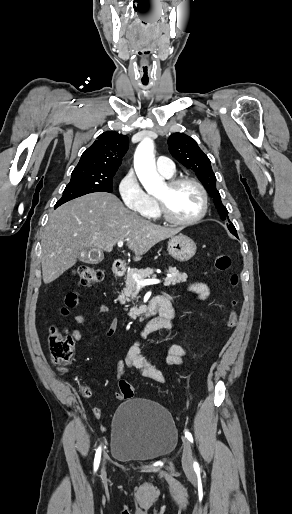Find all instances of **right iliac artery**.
<instances>
[{
	"mask_svg": "<svg viewBox=\"0 0 292 514\" xmlns=\"http://www.w3.org/2000/svg\"><path fill=\"white\" fill-rule=\"evenodd\" d=\"M101 451H102L101 446H99L96 451V454H95L94 471H96L99 467V463H100V459H101Z\"/></svg>",
	"mask_w": 292,
	"mask_h": 514,
	"instance_id": "obj_1",
	"label": "right iliac artery"
}]
</instances>
